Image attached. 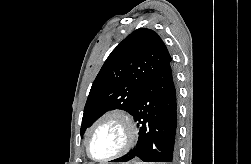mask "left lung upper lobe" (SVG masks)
I'll list each match as a JSON object with an SVG mask.
<instances>
[{
    "mask_svg": "<svg viewBox=\"0 0 251 164\" xmlns=\"http://www.w3.org/2000/svg\"><path fill=\"white\" fill-rule=\"evenodd\" d=\"M170 62L171 56L155 31L140 28L128 35L110 53L92 84L81 134L109 109L131 114L146 84Z\"/></svg>",
    "mask_w": 251,
    "mask_h": 164,
    "instance_id": "obj_1",
    "label": "left lung upper lobe"
}]
</instances>
